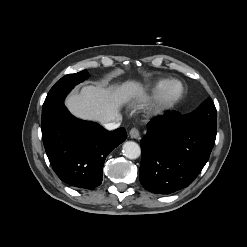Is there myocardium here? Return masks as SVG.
<instances>
[{
	"instance_id": "myocardium-1",
	"label": "myocardium",
	"mask_w": 247,
	"mask_h": 247,
	"mask_svg": "<svg viewBox=\"0 0 247 247\" xmlns=\"http://www.w3.org/2000/svg\"><path fill=\"white\" fill-rule=\"evenodd\" d=\"M173 86L177 87L174 92H172ZM184 90V85L180 80H168L159 90L151 112L155 115H160L172 109L182 99Z\"/></svg>"
}]
</instances>
